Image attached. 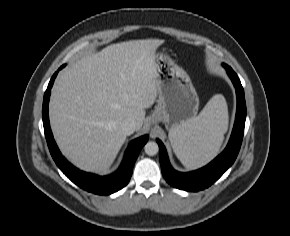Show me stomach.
<instances>
[{
    "instance_id": "stomach-1",
    "label": "stomach",
    "mask_w": 290,
    "mask_h": 236,
    "mask_svg": "<svg viewBox=\"0 0 290 236\" xmlns=\"http://www.w3.org/2000/svg\"><path fill=\"white\" fill-rule=\"evenodd\" d=\"M155 63L158 100L151 120L164 122L170 132L196 117L199 98L189 75L170 57L156 54Z\"/></svg>"
}]
</instances>
